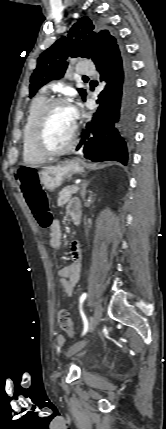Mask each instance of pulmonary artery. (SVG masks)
I'll return each instance as SVG.
<instances>
[{
	"label": "pulmonary artery",
	"mask_w": 166,
	"mask_h": 429,
	"mask_svg": "<svg viewBox=\"0 0 166 429\" xmlns=\"http://www.w3.org/2000/svg\"><path fill=\"white\" fill-rule=\"evenodd\" d=\"M77 71L80 75L88 76L93 73V68L87 65H79Z\"/></svg>",
	"instance_id": "pulmonary-artery-1"
}]
</instances>
